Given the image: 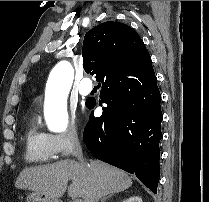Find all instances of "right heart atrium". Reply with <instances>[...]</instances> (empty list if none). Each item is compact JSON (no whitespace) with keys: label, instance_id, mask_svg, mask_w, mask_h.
Masks as SVG:
<instances>
[{"label":"right heart atrium","instance_id":"1","mask_svg":"<svg viewBox=\"0 0 209 202\" xmlns=\"http://www.w3.org/2000/svg\"><path fill=\"white\" fill-rule=\"evenodd\" d=\"M49 142L58 156H69L80 146V136L74 124L60 134H49ZM71 175H79L83 169L72 161H66Z\"/></svg>","mask_w":209,"mask_h":202}]
</instances>
